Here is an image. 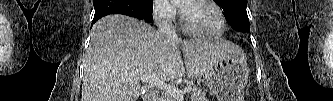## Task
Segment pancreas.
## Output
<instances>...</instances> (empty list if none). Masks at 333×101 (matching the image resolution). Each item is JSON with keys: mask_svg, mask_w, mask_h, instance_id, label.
<instances>
[{"mask_svg": "<svg viewBox=\"0 0 333 101\" xmlns=\"http://www.w3.org/2000/svg\"><path fill=\"white\" fill-rule=\"evenodd\" d=\"M190 93L192 101H206V94L201 89L193 87ZM160 101H178V99L176 97H173L169 93H165L161 96Z\"/></svg>", "mask_w": 333, "mask_h": 101, "instance_id": "cf45deb5", "label": "pancreas"}]
</instances>
